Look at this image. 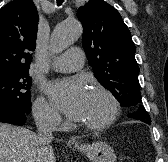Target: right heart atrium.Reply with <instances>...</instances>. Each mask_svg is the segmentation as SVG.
Instances as JSON below:
<instances>
[{
	"label": "right heart atrium",
	"instance_id": "obj_1",
	"mask_svg": "<svg viewBox=\"0 0 168 162\" xmlns=\"http://www.w3.org/2000/svg\"><path fill=\"white\" fill-rule=\"evenodd\" d=\"M33 115L37 123L43 127L57 129L61 125V117L57 109L43 97L33 103Z\"/></svg>",
	"mask_w": 168,
	"mask_h": 162
}]
</instances>
